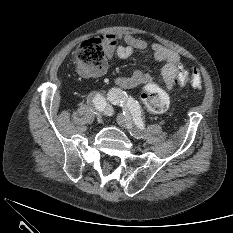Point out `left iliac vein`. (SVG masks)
I'll use <instances>...</instances> for the list:
<instances>
[{
	"label": "left iliac vein",
	"mask_w": 233,
	"mask_h": 233,
	"mask_svg": "<svg viewBox=\"0 0 233 233\" xmlns=\"http://www.w3.org/2000/svg\"><path fill=\"white\" fill-rule=\"evenodd\" d=\"M117 122L118 124L123 127L124 129H126L131 136H133L134 138H141L143 136V133L141 130H139V128H137L132 119L129 116H125L123 114H118L117 115Z\"/></svg>",
	"instance_id": "4c4485c4"
}]
</instances>
